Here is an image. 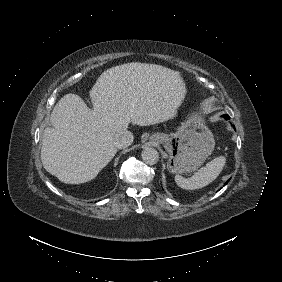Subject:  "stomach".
Returning a JSON list of instances; mask_svg holds the SVG:
<instances>
[{
    "label": "stomach",
    "mask_w": 282,
    "mask_h": 282,
    "mask_svg": "<svg viewBox=\"0 0 282 282\" xmlns=\"http://www.w3.org/2000/svg\"><path fill=\"white\" fill-rule=\"evenodd\" d=\"M151 139L163 144L169 154L167 168L172 173L197 170L215 147L212 132L205 125V109L188 115L176 133H155Z\"/></svg>",
    "instance_id": "stomach-1"
}]
</instances>
